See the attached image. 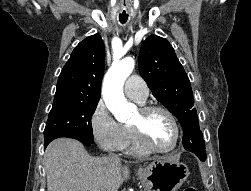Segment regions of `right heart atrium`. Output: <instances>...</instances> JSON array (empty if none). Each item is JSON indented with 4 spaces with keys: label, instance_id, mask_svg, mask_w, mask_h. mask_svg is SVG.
Here are the masks:
<instances>
[{
    "label": "right heart atrium",
    "instance_id": "obj_1",
    "mask_svg": "<svg viewBox=\"0 0 251 191\" xmlns=\"http://www.w3.org/2000/svg\"><path fill=\"white\" fill-rule=\"evenodd\" d=\"M89 128L93 140L103 151H117L124 146L126 126L120 124L101 101L90 114Z\"/></svg>",
    "mask_w": 251,
    "mask_h": 191
}]
</instances>
